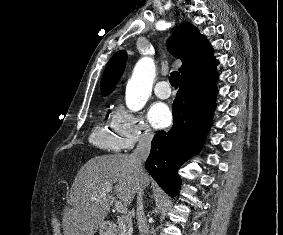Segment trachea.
<instances>
[{
  "instance_id": "3493384b",
  "label": "trachea",
  "mask_w": 283,
  "mask_h": 235,
  "mask_svg": "<svg viewBox=\"0 0 283 235\" xmlns=\"http://www.w3.org/2000/svg\"><path fill=\"white\" fill-rule=\"evenodd\" d=\"M179 77H180V74H179L177 71H173V72L170 74L169 82H170V84H171L173 87H175V88L178 87Z\"/></svg>"
}]
</instances>
